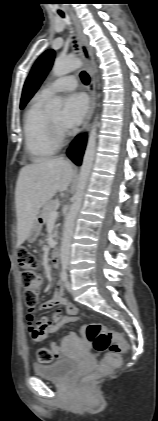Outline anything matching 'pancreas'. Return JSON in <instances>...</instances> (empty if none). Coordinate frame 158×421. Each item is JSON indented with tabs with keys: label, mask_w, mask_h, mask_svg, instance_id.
Listing matches in <instances>:
<instances>
[{
	"label": "pancreas",
	"mask_w": 158,
	"mask_h": 421,
	"mask_svg": "<svg viewBox=\"0 0 158 421\" xmlns=\"http://www.w3.org/2000/svg\"><path fill=\"white\" fill-rule=\"evenodd\" d=\"M57 208V202L55 200L47 201L42 208L41 214L44 223H46L50 219V212ZM57 236V233H56Z\"/></svg>",
	"instance_id": "1"
}]
</instances>
